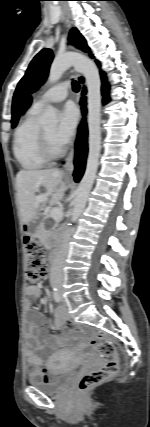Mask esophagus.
<instances>
[{
    "instance_id": "esophagus-1",
    "label": "esophagus",
    "mask_w": 150,
    "mask_h": 427,
    "mask_svg": "<svg viewBox=\"0 0 150 427\" xmlns=\"http://www.w3.org/2000/svg\"><path fill=\"white\" fill-rule=\"evenodd\" d=\"M65 23L70 28L71 27V20L69 16L65 13ZM72 72L77 76L80 77V73H78L75 69H72ZM74 158H75V147L73 146L70 153L68 154L65 165H64V175L67 178H72L73 171H74Z\"/></svg>"
}]
</instances>
